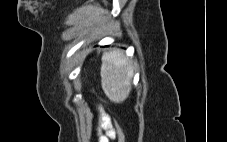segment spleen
<instances>
[{"mask_svg":"<svg viewBox=\"0 0 227 142\" xmlns=\"http://www.w3.org/2000/svg\"><path fill=\"white\" fill-rule=\"evenodd\" d=\"M133 63L119 50L102 56L101 85L106 96L113 102H123L131 90Z\"/></svg>","mask_w":227,"mask_h":142,"instance_id":"obj_1","label":"spleen"}]
</instances>
